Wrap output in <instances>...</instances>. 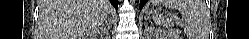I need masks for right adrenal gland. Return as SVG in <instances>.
<instances>
[{"label": "right adrenal gland", "mask_w": 249, "mask_h": 39, "mask_svg": "<svg viewBox=\"0 0 249 39\" xmlns=\"http://www.w3.org/2000/svg\"><path fill=\"white\" fill-rule=\"evenodd\" d=\"M107 24V21H105L103 24H102V27L101 29H103V27Z\"/></svg>", "instance_id": "2a0ac1e0"}]
</instances>
